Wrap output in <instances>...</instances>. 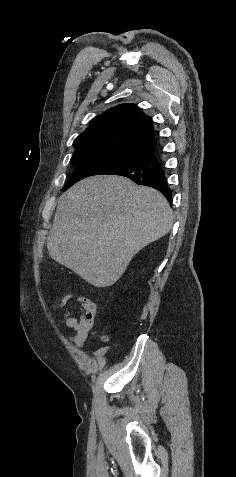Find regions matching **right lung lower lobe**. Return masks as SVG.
I'll return each instance as SVG.
<instances>
[{
  "mask_svg": "<svg viewBox=\"0 0 236 477\" xmlns=\"http://www.w3.org/2000/svg\"><path fill=\"white\" fill-rule=\"evenodd\" d=\"M111 175L125 176L139 185L153 187L172 202V193L167 186L163 167L154 153L132 165L120 168Z\"/></svg>",
  "mask_w": 236,
  "mask_h": 477,
  "instance_id": "98d812e1",
  "label": "right lung lower lobe"
}]
</instances>
